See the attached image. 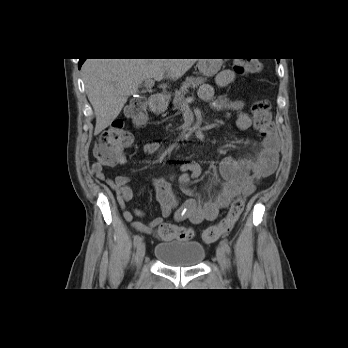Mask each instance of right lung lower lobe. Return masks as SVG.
I'll return each instance as SVG.
<instances>
[{"instance_id":"1","label":"right lung lower lobe","mask_w":348,"mask_h":348,"mask_svg":"<svg viewBox=\"0 0 348 348\" xmlns=\"http://www.w3.org/2000/svg\"><path fill=\"white\" fill-rule=\"evenodd\" d=\"M84 61H85V59H80L79 60V68L81 67V65L83 64Z\"/></svg>"}]
</instances>
